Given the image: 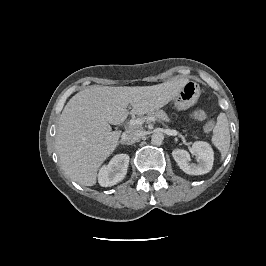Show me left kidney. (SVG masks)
Returning <instances> with one entry per match:
<instances>
[{
    "mask_svg": "<svg viewBox=\"0 0 266 266\" xmlns=\"http://www.w3.org/2000/svg\"><path fill=\"white\" fill-rule=\"evenodd\" d=\"M198 163L189 162V153L184 149H175L172 156L180 169L189 175H202L211 171L214 161V152L211 146L204 141H196L192 145Z\"/></svg>",
    "mask_w": 266,
    "mask_h": 266,
    "instance_id": "1",
    "label": "left kidney"
}]
</instances>
